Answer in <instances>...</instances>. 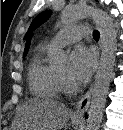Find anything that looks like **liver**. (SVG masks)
Instances as JSON below:
<instances>
[{"label":"liver","instance_id":"1","mask_svg":"<svg viewBox=\"0 0 123 130\" xmlns=\"http://www.w3.org/2000/svg\"><path fill=\"white\" fill-rule=\"evenodd\" d=\"M70 115V110L60 102L32 98L19 108L13 130H60Z\"/></svg>","mask_w":123,"mask_h":130}]
</instances>
